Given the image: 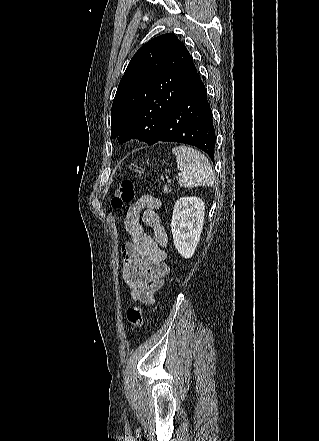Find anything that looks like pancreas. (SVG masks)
Wrapping results in <instances>:
<instances>
[{
	"mask_svg": "<svg viewBox=\"0 0 319 441\" xmlns=\"http://www.w3.org/2000/svg\"><path fill=\"white\" fill-rule=\"evenodd\" d=\"M163 190H164L165 193L171 192V189H169L168 186H164Z\"/></svg>",
	"mask_w": 319,
	"mask_h": 441,
	"instance_id": "1",
	"label": "pancreas"
}]
</instances>
